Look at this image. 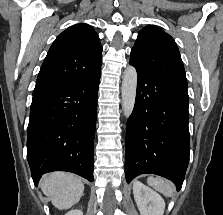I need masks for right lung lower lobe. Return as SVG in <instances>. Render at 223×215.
I'll return each mask as SVG.
<instances>
[{
	"instance_id": "right-lung-lower-lobe-1",
	"label": "right lung lower lobe",
	"mask_w": 223,
	"mask_h": 215,
	"mask_svg": "<svg viewBox=\"0 0 223 215\" xmlns=\"http://www.w3.org/2000/svg\"><path fill=\"white\" fill-rule=\"evenodd\" d=\"M100 71L68 87L33 96L27 159L34 184L51 171L76 173L90 182Z\"/></svg>"
}]
</instances>
